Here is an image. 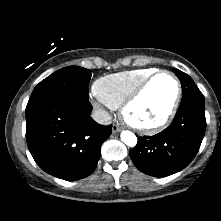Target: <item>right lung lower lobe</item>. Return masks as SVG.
Returning <instances> with one entry per match:
<instances>
[{
    "label": "right lung lower lobe",
    "instance_id": "obj_1",
    "mask_svg": "<svg viewBox=\"0 0 221 221\" xmlns=\"http://www.w3.org/2000/svg\"><path fill=\"white\" fill-rule=\"evenodd\" d=\"M88 98L60 97L26 107V139L29 151L45 172L79 180L97 166L102 143L112 126L96 123Z\"/></svg>",
    "mask_w": 221,
    "mask_h": 221
}]
</instances>
